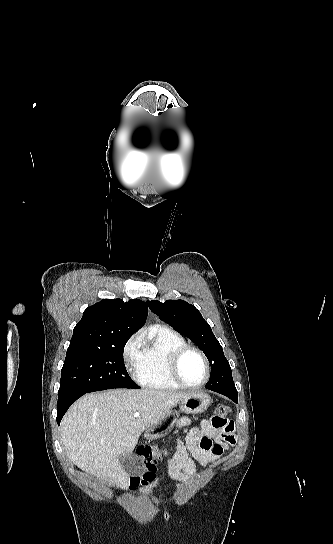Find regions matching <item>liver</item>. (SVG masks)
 Wrapping results in <instances>:
<instances>
[{"instance_id": "6515ba94", "label": "liver", "mask_w": 333, "mask_h": 544, "mask_svg": "<svg viewBox=\"0 0 333 544\" xmlns=\"http://www.w3.org/2000/svg\"><path fill=\"white\" fill-rule=\"evenodd\" d=\"M186 392L116 389L86 394L61 422V441L71 462L110 485L127 488L118 460L132 452L142 432L162 420ZM140 413L134 418V413Z\"/></svg>"}]
</instances>
